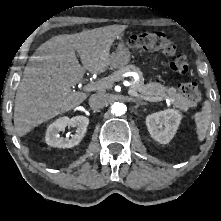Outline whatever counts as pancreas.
Here are the masks:
<instances>
[{"instance_id":"pancreas-1","label":"pancreas","mask_w":221,"mask_h":221,"mask_svg":"<svg viewBox=\"0 0 221 221\" xmlns=\"http://www.w3.org/2000/svg\"><path fill=\"white\" fill-rule=\"evenodd\" d=\"M134 71L139 75V80L134 82L132 80V85L130 86V90L134 92L136 97L146 99L149 97H157V96H165L166 93L170 95L172 98V103L175 107L179 108L182 111H188L189 101L182 94L177 93L174 87L167 88L159 83L152 82L148 84H144V79L142 77V72L139 68L134 65H128L120 68L115 71L112 75L105 78L102 82L105 84L106 89H110L115 81H119L122 79L124 73Z\"/></svg>"}]
</instances>
